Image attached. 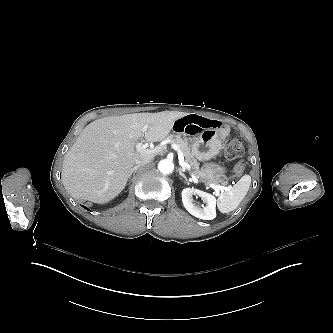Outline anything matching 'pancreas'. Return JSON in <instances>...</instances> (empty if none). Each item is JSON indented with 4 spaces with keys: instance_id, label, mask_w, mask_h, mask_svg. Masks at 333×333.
Segmentation results:
<instances>
[{
    "instance_id": "obj_1",
    "label": "pancreas",
    "mask_w": 333,
    "mask_h": 333,
    "mask_svg": "<svg viewBox=\"0 0 333 333\" xmlns=\"http://www.w3.org/2000/svg\"><path fill=\"white\" fill-rule=\"evenodd\" d=\"M167 138L173 140V144L177 147L178 153H182L185 161L190 165V172L193 173L200 181L205 182L206 184L210 182H217L215 176L221 175V173L209 167L199 169V163L192 154L187 141L182 138V135L171 134L168 135ZM220 183L224 185L226 184L225 181H221Z\"/></svg>"
}]
</instances>
